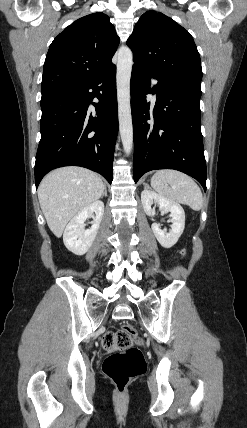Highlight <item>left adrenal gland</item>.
I'll list each match as a JSON object with an SVG mask.
<instances>
[{"label": "left adrenal gland", "instance_id": "a2214340", "mask_svg": "<svg viewBox=\"0 0 247 428\" xmlns=\"http://www.w3.org/2000/svg\"><path fill=\"white\" fill-rule=\"evenodd\" d=\"M143 185L145 186V188H149V185L147 183H143Z\"/></svg>", "mask_w": 247, "mask_h": 428}]
</instances>
